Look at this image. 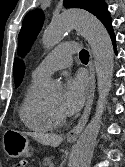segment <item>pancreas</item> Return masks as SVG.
Wrapping results in <instances>:
<instances>
[{
  "label": "pancreas",
  "mask_w": 125,
  "mask_h": 167,
  "mask_svg": "<svg viewBox=\"0 0 125 167\" xmlns=\"http://www.w3.org/2000/svg\"><path fill=\"white\" fill-rule=\"evenodd\" d=\"M53 158H54L53 156L44 158L43 163H42L43 167L50 166V164L52 163Z\"/></svg>",
  "instance_id": "obj_1"
}]
</instances>
